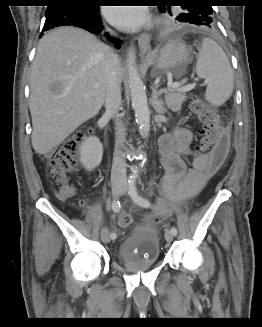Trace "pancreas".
<instances>
[{
    "label": "pancreas",
    "mask_w": 262,
    "mask_h": 327,
    "mask_svg": "<svg viewBox=\"0 0 262 327\" xmlns=\"http://www.w3.org/2000/svg\"><path fill=\"white\" fill-rule=\"evenodd\" d=\"M187 96L184 92H180L174 89H169L165 95V101L168 108L172 111L177 112L181 110L183 102Z\"/></svg>",
    "instance_id": "1"
}]
</instances>
